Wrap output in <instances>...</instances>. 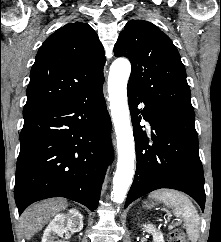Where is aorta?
Listing matches in <instances>:
<instances>
[{
    "label": "aorta",
    "instance_id": "1",
    "mask_svg": "<svg viewBox=\"0 0 221 242\" xmlns=\"http://www.w3.org/2000/svg\"><path fill=\"white\" fill-rule=\"evenodd\" d=\"M131 64L125 58L116 59L110 66L108 93L118 150L117 169L113 177V201L121 204L134 175L135 143L127 102V83Z\"/></svg>",
    "mask_w": 221,
    "mask_h": 242
}]
</instances>
